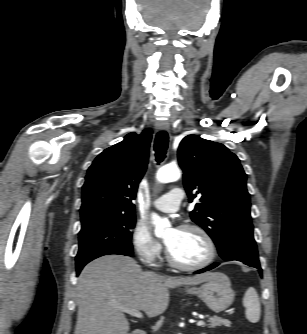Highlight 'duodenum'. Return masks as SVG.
Masks as SVG:
<instances>
[{"mask_svg": "<svg viewBox=\"0 0 307 334\" xmlns=\"http://www.w3.org/2000/svg\"><path fill=\"white\" fill-rule=\"evenodd\" d=\"M132 334H146V332L142 329H136L132 332Z\"/></svg>", "mask_w": 307, "mask_h": 334, "instance_id": "1", "label": "duodenum"}]
</instances>
